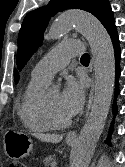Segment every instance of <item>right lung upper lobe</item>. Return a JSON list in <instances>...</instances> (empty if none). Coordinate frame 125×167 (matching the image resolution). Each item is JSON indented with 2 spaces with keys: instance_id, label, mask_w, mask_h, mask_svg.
I'll return each mask as SVG.
<instances>
[{
  "instance_id": "cb5924a9",
  "label": "right lung upper lobe",
  "mask_w": 125,
  "mask_h": 167,
  "mask_svg": "<svg viewBox=\"0 0 125 167\" xmlns=\"http://www.w3.org/2000/svg\"><path fill=\"white\" fill-rule=\"evenodd\" d=\"M14 78H15V82L17 83L18 79H19V75H18L17 71H15V73H14Z\"/></svg>"
}]
</instances>
